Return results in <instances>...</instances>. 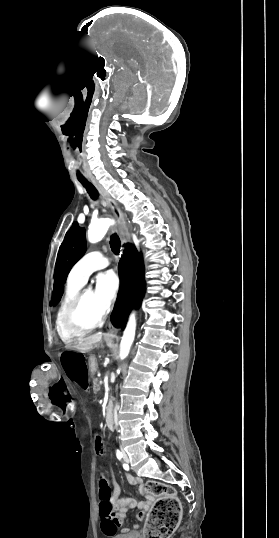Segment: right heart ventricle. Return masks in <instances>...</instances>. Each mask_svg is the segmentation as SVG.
<instances>
[{"label":"right heart ventricle","mask_w":279,"mask_h":538,"mask_svg":"<svg viewBox=\"0 0 279 538\" xmlns=\"http://www.w3.org/2000/svg\"><path fill=\"white\" fill-rule=\"evenodd\" d=\"M108 230H109V217L107 215L102 214L99 210H94L92 214L91 222L88 228V233L90 237L96 234H105ZM73 267L70 271V274L67 280V285L65 288V293L63 295V298L61 300V303H60V306L58 308L57 315H56V329L61 339L65 342L72 341L74 337L68 335L63 330L62 324H61L62 316L68 304L75 298V296L79 293V291L82 289L84 285V282L76 280L74 278Z\"/></svg>","instance_id":"obj_1"}]
</instances>
